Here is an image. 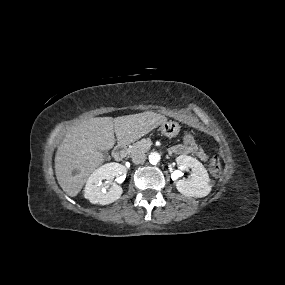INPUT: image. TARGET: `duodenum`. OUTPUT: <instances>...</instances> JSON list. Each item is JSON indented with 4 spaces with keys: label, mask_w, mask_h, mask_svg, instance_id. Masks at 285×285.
I'll use <instances>...</instances> for the list:
<instances>
[{
    "label": "duodenum",
    "mask_w": 285,
    "mask_h": 285,
    "mask_svg": "<svg viewBox=\"0 0 285 285\" xmlns=\"http://www.w3.org/2000/svg\"><path fill=\"white\" fill-rule=\"evenodd\" d=\"M126 155V147L123 144H119L113 151V157L115 160L120 161Z\"/></svg>",
    "instance_id": "obj_1"
}]
</instances>
